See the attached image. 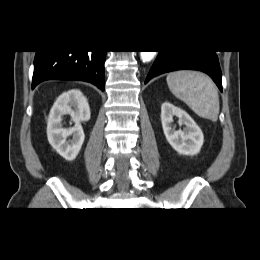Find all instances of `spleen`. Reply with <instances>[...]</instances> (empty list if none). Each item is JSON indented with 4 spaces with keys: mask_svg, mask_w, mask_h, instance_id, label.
Instances as JSON below:
<instances>
[{
    "mask_svg": "<svg viewBox=\"0 0 260 260\" xmlns=\"http://www.w3.org/2000/svg\"><path fill=\"white\" fill-rule=\"evenodd\" d=\"M166 80L170 91L198 116L217 121L219 95L210 77L196 71H175Z\"/></svg>",
    "mask_w": 260,
    "mask_h": 260,
    "instance_id": "1",
    "label": "spleen"
}]
</instances>
